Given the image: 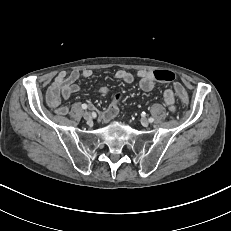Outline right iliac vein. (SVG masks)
Wrapping results in <instances>:
<instances>
[{
    "label": "right iliac vein",
    "mask_w": 231,
    "mask_h": 231,
    "mask_svg": "<svg viewBox=\"0 0 231 231\" xmlns=\"http://www.w3.org/2000/svg\"><path fill=\"white\" fill-rule=\"evenodd\" d=\"M83 117L85 120L90 121L92 119V116L89 112H84Z\"/></svg>",
    "instance_id": "63e3f726"
}]
</instances>
